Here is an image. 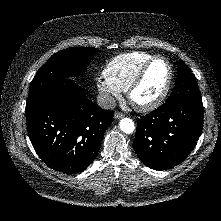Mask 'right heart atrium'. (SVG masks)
<instances>
[{"mask_svg":"<svg viewBox=\"0 0 221 221\" xmlns=\"http://www.w3.org/2000/svg\"><path fill=\"white\" fill-rule=\"evenodd\" d=\"M96 85L105 104L110 105L115 99L120 97L121 91L104 77L98 78Z\"/></svg>","mask_w":221,"mask_h":221,"instance_id":"obj_1","label":"right heart atrium"}]
</instances>
